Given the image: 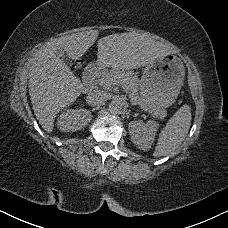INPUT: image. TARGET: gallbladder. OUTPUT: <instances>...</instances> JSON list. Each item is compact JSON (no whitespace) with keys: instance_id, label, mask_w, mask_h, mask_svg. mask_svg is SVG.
Segmentation results:
<instances>
[{"instance_id":"gallbladder-1","label":"gallbladder","mask_w":228,"mask_h":228,"mask_svg":"<svg viewBox=\"0 0 228 228\" xmlns=\"http://www.w3.org/2000/svg\"><path fill=\"white\" fill-rule=\"evenodd\" d=\"M56 54L60 55L66 61V63H69V59L64 55L63 49L61 48L57 49Z\"/></svg>"}]
</instances>
